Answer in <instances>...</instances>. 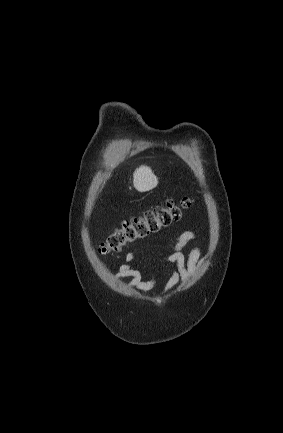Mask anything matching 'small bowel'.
I'll return each mask as SVG.
<instances>
[{"instance_id":"c3829d8e","label":"small bowel","mask_w":283,"mask_h":433,"mask_svg":"<svg viewBox=\"0 0 283 433\" xmlns=\"http://www.w3.org/2000/svg\"><path fill=\"white\" fill-rule=\"evenodd\" d=\"M191 245L192 249L188 256L183 254V249ZM201 256V248L195 233L185 231L180 234L173 247L166 254V262L173 267L170 269V276L165 285V292L172 290L178 283L186 282L195 274ZM135 253L128 252L124 256L122 265L119 266L116 277L130 278L129 286L143 293H148L157 283V277L153 275L148 280H143L140 271L134 265Z\"/></svg>"}]
</instances>
